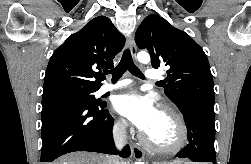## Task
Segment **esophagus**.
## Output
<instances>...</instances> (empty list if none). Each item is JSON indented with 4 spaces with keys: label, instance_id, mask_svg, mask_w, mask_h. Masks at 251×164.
I'll return each instance as SVG.
<instances>
[{
    "label": "esophagus",
    "instance_id": "34e87169",
    "mask_svg": "<svg viewBox=\"0 0 251 164\" xmlns=\"http://www.w3.org/2000/svg\"><path fill=\"white\" fill-rule=\"evenodd\" d=\"M127 43H128V46L131 51V55H132L133 59L136 60L137 48H136L134 36H130ZM131 151H132L133 157L137 161H144L145 160V153L138 145L132 143L131 144Z\"/></svg>",
    "mask_w": 251,
    "mask_h": 164
}]
</instances>
